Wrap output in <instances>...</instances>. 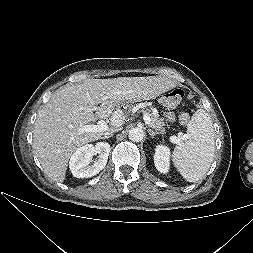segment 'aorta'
Segmentation results:
<instances>
[{
    "mask_svg": "<svg viewBox=\"0 0 253 253\" xmlns=\"http://www.w3.org/2000/svg\"><path fill=\"white\" fill-rule=\"evenodd\" d=\"M128 137L133 142H141L144 138V131L141 128H132Z\"/></svg>",
    "mask_w": 253,
    "mask_h": 253,
    "instance_id": "aorta-1",
    "label": "aorta"
}]
</instances>
